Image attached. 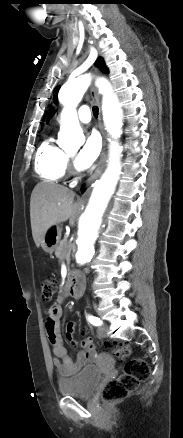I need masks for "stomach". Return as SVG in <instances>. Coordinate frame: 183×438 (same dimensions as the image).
I'll return each mask as SVG.
<instances>
[{
    "label": "stomach",
    "mask_w": 183,
    "mask_h": 438,
    "mask_svg": "<svg viewBox=\"0 0 183 438\" xmlns=\"http://www.w3.org/2000/svg\"><path fill=\"white\" fill-rule=\"evenodd\" d=\"M61 238V228L59 225H53L50 227L46 233L44 234L42 241H41V247L46 253H53Z\"/></svg>",
    "instance_id": "1"
}]
</instances>
